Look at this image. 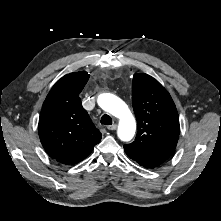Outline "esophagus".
I'll list each match as a JSON object with an SVG mask.
<instances>
[{"label": "esophagus", "mask_w": 221, "mask_h": 221, "mask_svg": "<svg viewBox=\"0 0 221 221\" xmlns=\"http://www.w3.org/2000/svg\"><path fill=\"white\" fill-rule=\"evenodd\" d=\"M116 128H117V125H116V124L107 126V129H108V130H115Z\"/></svg>", "instance_id": "obj_1"}]
</instances>
